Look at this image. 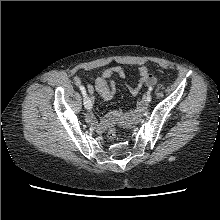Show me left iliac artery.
Returning <instances> with one entry per match:
<instances>
[{
	"instance_id": "obj_1",
	"label": "left iliac artery",
	"mask_w": 220,
	"mask_h": 220,
	"mask_svg": "<svg viewBox=\"0 0 220 220\" xmlns=\"http://www.w3.org/2000/svg\"><path fill=\"white\" fill-rule=\"evenodd\" d=\"M148 90H149V91H152V90H153V87L150 86ZM147 100H148V101H151V99H148V98H147Z\"/></svg>"
}]
</instances>
